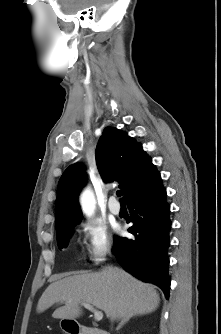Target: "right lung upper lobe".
I'll use <instances>...</instances> for the list:
<instances>
[{"label":"right lung upper lobe","instance_id":"right-lung-upper-lobe-1","mask_svg":"<svg viewBox=\"0 0 221 334\" xmlns=\"http://www.w3.org/2000/svg\"><path fill=\"white\" fill-rule=\"evenodd\" d=\"M96 163L104 181L121 182L126 201L158 174L142 145L114 127L104 129L96 148ZM85 183L86 175L79 165L69 166L61 176L56 199L57 234L80 221L77 198Z\"/></svg>","mask_w":221,"mask_h":334}]
</instances>
